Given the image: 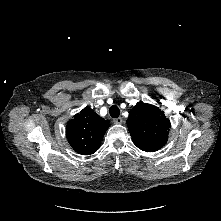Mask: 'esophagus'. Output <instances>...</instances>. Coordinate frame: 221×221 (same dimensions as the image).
Wrapping results in <instances>:
<instances>
[{
    "mask_svg": "<svg viewBox=\"0 0 221 221\" xmlns=\"http://www.w3.org/2000/svg\"><path fill=\"white\" fill-rule=\"evenodd\" d=\"M114 123L115 124H122L123 123V119L121 117H118V118L114 119Z\"/></svg>",
    "mask_w": 221,
    "mask_h": 221,
    "instance_id": "obj_1",
    "label": "esophagus"
}]
</instances>
